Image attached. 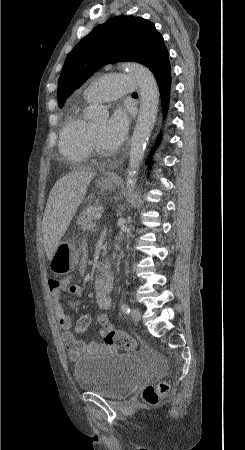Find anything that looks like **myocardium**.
I'll return each instance as SVG.
<instances>
[{"mask_svg":"<svg viewBox=\"0 0 245 450\" xmlns=\"http://www.w3.org/2000/svg\"><path fill=\"white\" fill-rule=\"evenodd\" d=\"M89 136H90V142H91V146L92 149L94 151H96L98 154L100 155H109L112 154V152L109 149H106L98 140V138L96 137L92 124L89 128Z\"/></svg>","mask_w":245,"mask_h":450,"instance_id":"obj_1","label":"myocardium"}]
</instances>
